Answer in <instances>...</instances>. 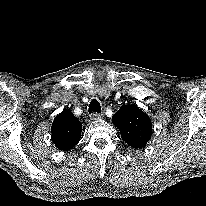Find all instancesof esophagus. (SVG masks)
<instances>
[{"instance_id": "34e87169", "label": "esophagus", "mask_w": 206, "mask_h": 206, "mask_svg": "<svg viewBox=\"0 0 206 206\" xmlns=\"http://www.w3.org/2000/svg\"><path fill=\"white\" fill-rule=\"evenodd\" d=\"M103 115L102 114H99V113H93L91 114L90 116V119L95 121V120H100L102 119Z\"/></svg>"}]
</instances>
